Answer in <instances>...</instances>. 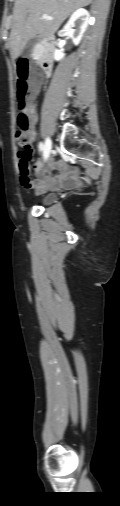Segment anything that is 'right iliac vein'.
<instances>
[{
    "instance_id": "1",
    "label": "right iliac vein",
    "mask_w": 120,
    "mask_h": 506,
    "mask_svg": "<svg viewBox=\"0 0 120 506\" xmlns=\"http://www.w3.org/2000/svg\"><path fill=\"white\" fill-rule=\"evenodd\" d=\"M51 147H52V142L49 138H47L45 141V150H44V157L45 158L49 157V155L51 153Z\"/></svg>"
}]
</instances>
